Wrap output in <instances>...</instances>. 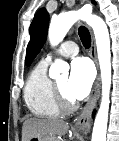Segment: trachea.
Returning <instances> with one entry per match:
<instances>
[{
	"label": "trachea",
	"instance_id": "obj_1",
	"mask_svg": "<svg viewBox=\"0 0 119 141\" xmlns=\"http://www.w3.org/2000/svg\"><path fill=\"white\" fill-rule=\"evenodd\" d=\"M79 37L83 43V46L85 48H89L90 45H91V36H90V33L88 31V29L84 26H81L79 28Z\"/></svg>",
	"mask_w": 119,
	"mask_h": 141
}]
</instances>
